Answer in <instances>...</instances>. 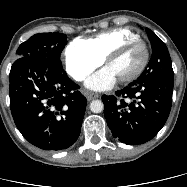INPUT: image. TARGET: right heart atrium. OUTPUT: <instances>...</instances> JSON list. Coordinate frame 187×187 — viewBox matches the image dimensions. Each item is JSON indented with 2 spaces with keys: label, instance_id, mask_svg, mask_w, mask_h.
I'll list each match as a JSON object with an SVG mask.
<instances>
[{
  "label": "right heart atrium",
  "instance_id": "obj_1",
  "mask_svg": "<svg viewBox=\"0 0 187 187\" xmlns=\"http://www.w3.org/2000/svg\"><path fill=\"white\" fill-rule=\"evenodd\" d=\"M64 59L68 73L77 81L84 80L103 63V58L83 39H75L67 45Z\"/></svg>",
  "mask_w": 187,
  "mask_h": 187
}]
</instances>
